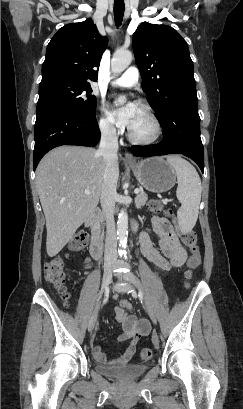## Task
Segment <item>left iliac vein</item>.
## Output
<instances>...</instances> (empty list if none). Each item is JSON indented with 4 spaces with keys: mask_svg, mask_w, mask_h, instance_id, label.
<instances>
[{
    "mask_svg": "<svg viewBox=\"0 0 243 409\" xmlns=\"http://www.w3.org/2000/svg\"><path fill=\"white\" fill-rule=\"evenodd\" d=\"M122 278H123L125 281L131 283L132 285H134V286H136V287L138 288L139 293H140V295H141V298H142V300H143V302H144L146 311H147L149 317L151 318L152 322H153L154 324H156L157 320H156L155 312H154V310H153V308H152L150 302H149L148 299L146 298V296H145V294H144V291H143V289L141 288L140 282H139V280L137 279V277H136L132 272H127V273H125L124 275H122ZM154 343L156 344V340H155V339H154Z\"/></svg>",
    "mask_w": 243,
    "mask_h": 409,
    "instance_id": "1",
    "label": "left iliac vein"
}]
</instances>
